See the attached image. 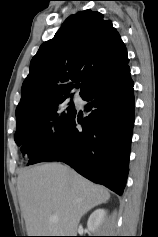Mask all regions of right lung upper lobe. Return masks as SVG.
<instances>
[{
	"label": "right lung upper lobe",
	"instance_id": "obj_1",
	"mask_svg": "<svg viewBox=\"0 0 158 237\" xmlns=\"http://www.w3.org/2000/svg\"><path fill=\"white\" fill-rule=\"evenodd\" d=\"M128 61L119 33L103 14L85 10L71 15L32 58L16 118L33 114L52 101L68 98L79 82L83 97Z\"/></svg>",
	"mask_w": 158,
	"mask_h": 237
}]
</instances>
